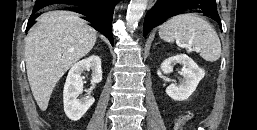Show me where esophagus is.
I'll return each instance as SVG.
<instances>
[{
    "label": "esophagus",
    "mask_w": 257,
    "mask_h": 130,
    "mask_svg": "<svg viewBox=\"0 0 257 130\" xmlns=\"http://www.w3.org/2000/svg\"><path fill=\"white\" fill-rule=\"evenodd\" d=\"M156 0H149L148 7L151 8L155 4Z\"/></svg>",
    "instance_id": "34e87169"
}]
</instances>
